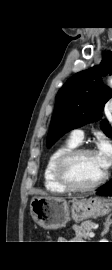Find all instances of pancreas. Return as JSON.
I'll list each match as a JSON object with an SVG mask.
<instances>
[{"label": "pancreas", "mask_w": 112, "mask_h": 270, "mask_svg": "<svg viewBox=\"0 0 112 270\" xmlns=\"http://www.w3.org/2000/svg\"><path fill=\"white\" fill-rule=\"evenodd\" d=\"M94 226V222L85 221L81 225H73V229L75 231L76 237L80 239H88L89 233L91 232Z\"/></svg>", "instance_id": "obj_1"}]
</instances>
